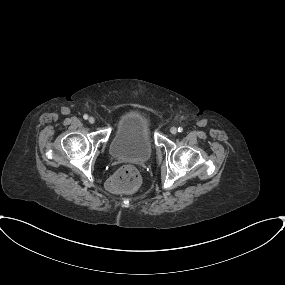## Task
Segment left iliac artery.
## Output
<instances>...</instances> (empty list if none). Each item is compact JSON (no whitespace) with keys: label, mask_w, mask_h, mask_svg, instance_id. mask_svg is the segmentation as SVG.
Wrapping results in <instances>:
<instances>
[{"label":"left iliac artery","mask_w":285,"mask_h":285,"mask_svg":"<svg viewBox=\"0 0 285 285\" xmlns=\"http://www.w3.org/2000/svg\"><path fill=\"white\" fill-rule=\"evenodd\" d=\"M183 131V128L182 127H179L178 128V132H182Z\"/></svg>","instance_id":"left-iliac-artery-1"}]
</instances>
